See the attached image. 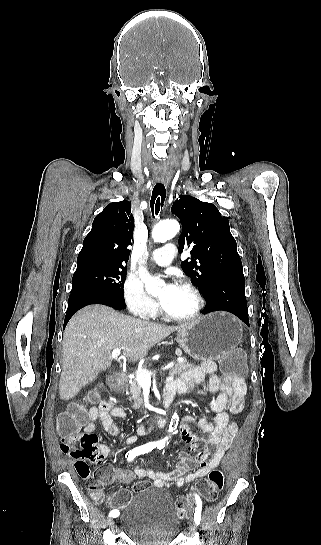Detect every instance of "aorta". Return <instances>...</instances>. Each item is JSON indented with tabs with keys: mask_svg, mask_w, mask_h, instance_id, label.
<instances>
[{
	"mask_svg": "<svg viewBox=\"0 0 321 545\" xmlns=\"http://www.w3.org/2000/svg\"><path fill=\"white\" fill-rule=\"evenodd\" d=\"M180 230V225L176 220H166L159 224H157L153 231H152V238L154 239V242H161L164 243L167 240L172 239ZM145 287L147 292L151 294H156L159 291V287L162 285V282L156 278H152L151 276L144 277ZM174 422L176 421V424L179 421L178 415L174 413L173 415ZM173 421H171L170 429L172 430ZM168 440V438L164 439V442Z\"/></svg>",
	"mask_w": 321,
	"mask_h": 545,
	"instance_id": "obj_1",
	"label": "aorta"
}]
</instances>
